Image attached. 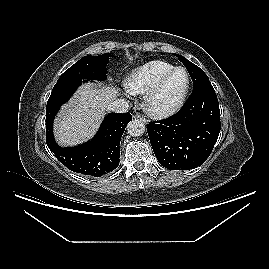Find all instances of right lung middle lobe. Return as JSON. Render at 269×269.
I'll use <instances>...</instances> for the list:
<instances>
[{"mask_svg":"<svg viewBox=\"0 0 269 269\" xmlns=\"http://www.w3.org/2000/svg\"><path fill=\"white\" fill-rule=\"evenodd\" d=\"M110 57H112L110 53L98 56H84L67 69L57 82L66 79L104 80L107 74V62Z\"/></svg>","mask_w":269,"mask_h":269,"instance_id":"obj_1","label":"right lung middle lobe"}]
</instances>
